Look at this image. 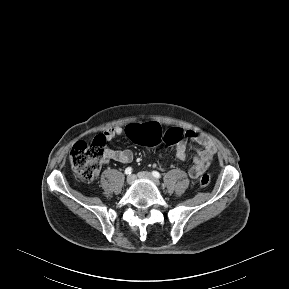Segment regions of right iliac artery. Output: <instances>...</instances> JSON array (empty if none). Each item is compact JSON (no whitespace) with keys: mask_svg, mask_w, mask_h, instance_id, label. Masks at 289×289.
Wrapping results in <instances>:
<instances>
[{"mask_svg":"<svg viewBox=\"0 0 289 289\" xmlns=\"http://www.w3.org/2000/svg\"><path fill=\"white\" fill-rule=\"evenodd\" d=\"M132 168L131 167H127L126 169H125V174L126 175H130L131 173H132Z\"/></svg>","mask_w":289,"mask_h":289,"instance_id":"1","label":"right iliac artery"}]
</instances>
